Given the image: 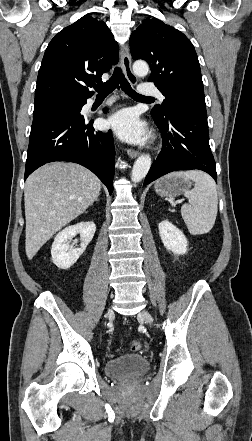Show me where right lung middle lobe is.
<instances>
[{
  "mask_svg": "<svg viewBox=\"0 0 252 441\" xmlns=\"http://www.w3.org/2000/svg\"><path fill=\"white\" fill-rule=\"evenodd\" d=\"M68 106H71L73 109H70ZM74 109L80 110L81 109L80 104L77 103L67 104V102L55 98V99H48L35 103L33 114L37 115L48 111L73 112ZM79 116L81 115L79 114Z\"/></svg>",
  "mask_w": 252,
  "mask_h": 441,
  "instance_id": "right-lung-middle-lobe-1",
  "label": "right lung middle lobe"
}]
</instances>
